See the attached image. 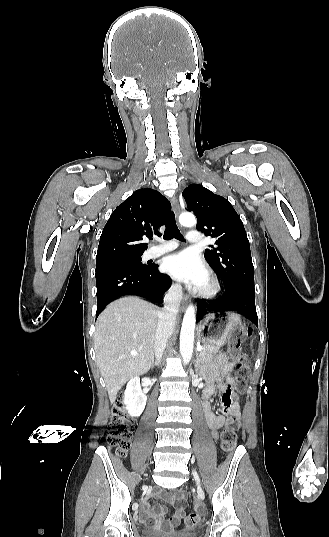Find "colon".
<instances>
[{
	"mask_svg": "<svg viewBox=\"0 0 329 537\" xmlns=\"http://www.w3.org/2000/svg\"><path fill=\"white\" fill-rule=\"evenodd\" d=\"M229 354L237 360V388L243 389L246 385V379L249 375L250 358L247 354L241 353L240 342L236 340L229 347ZM223 400L231 402L229 394L224 395ZM238 422L229 421L220 430V441L224 451L232 452L236 446L237 434L236 428ZM133 420L125 413V398L120 395L115 402L112 410V417L107 432V442L111 447H115L118 452H126L132 441ZM200 523V515L196 512L190 513L185 519V525L189 528L195 527Z\"/></svg>",
	"mask_w": 329,
	"mask_h": 537,
	"instance_id": "1",
	"label": "colon"
}]
</instances>
